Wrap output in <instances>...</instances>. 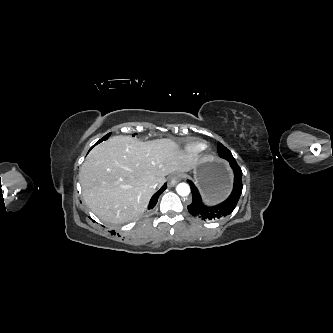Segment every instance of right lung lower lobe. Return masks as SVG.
I'll list each match as a JSON object with an SVG mask.
<instances>
[{"label":"right lung lower lobe","mask_w":333,"mask_h":333,"mask_svg":"<svg viewBox=\"0 0 333 333\" xmlns=\"http://www.w3.org/2000/svg\"><path fill=\"white\" fill-rule=\"evenodd\" d=\"M100 141H101V140H99L96 144L100 143ZM96 144H95V145H96ZM166 188H167V185L164 184V186H163L158 192H156V193L153 195V197L151 198V200H150V202H149L148 209H152V208L156 205V203H157V201H158V197L160 196V194H161Z\"/></svg>","instance_id":"98d812e1"}]
</instances>
